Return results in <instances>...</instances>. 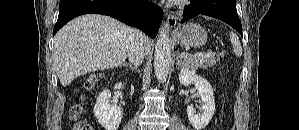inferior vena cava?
<instances>
[{
	"label": "inferior vena cava",
	"instance_id": "obj_1",
	"mask_svg": "<svg viewBox=\"0 0 299 130\" xmlns=\"http://www.w3.org/2000/svg\"><path fill=\"white\" fill-rule=\"evenodd\" d=\"M144 38L145 36L140 30L135 28L131 29L127 55L129 61L137 66L142 64L146 55Z\"/></svg>",
	"mask_w": 299,
	"mask_h": 130
}]
</instances>
